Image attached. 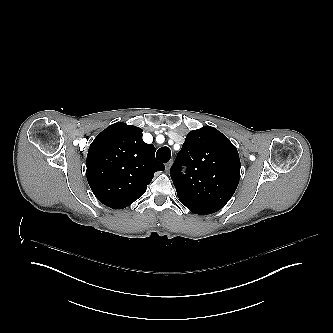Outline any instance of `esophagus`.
I'll use <instances>...</instances> for the list:
<instances>
[{
    "label": "esophagus",
    "mask_w": 333,
    "mask_h": 333,
    "mask_svg": "<svg viewBox=\"0 0 333 333\" xmlns=\"http://www.w3.org/2000/svg\"><path fill=\"white\" fill-rule=\"evenodd\" d=\"M171 165H172V161H170V162H168V163L166 164V170H167V171L170 170Z\"/></svg>",
    "instance_id": "esophagus-1"
}]
</instances>
